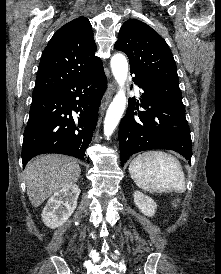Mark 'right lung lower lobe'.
<instances>
[{
    "mask_svg": "<svg viewBox=\"0 0 221 274\" xmlns=\"http://www.w3.org/2000/svg\"><path fill=\"white\" fill-rule=\"evenodd\" d=\"M106 87L102 67L91 75L33 96L24 131L23 167L34 156L45 153L65 154L89 162L85 150L92 140ZM72 111L78 116H73Z\"/></svg>",
    "mask_w": 221,
    "mask_h": 274,
    "instance_id": "98d812e1",
    "label": "right lung lower lobe"
}]
</instances>
